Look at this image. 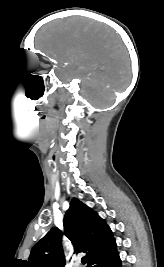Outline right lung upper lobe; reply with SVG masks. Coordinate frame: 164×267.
Instances as JSON below:
<instances>
[{"instance_id": "1", "label": "right lung upper lobe", "mask_w": 164, "mask_h": 267, "mask_svg": "<svg viewBox=\"0 0 164 267\" xmlns=\"http://www.w3.org/2000/svg\"><path fill=\"white\" fill-rule=\"evenodd\" d=\"M64 233L76 252L86 253L88 265L97 257L116 248L112 231L106 222L77 198H72L64 217ZM62 232L52 228L33 247L30 267H64L65 256L61 245Z\"/></svg>"}]
</instances>
